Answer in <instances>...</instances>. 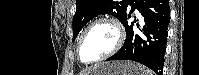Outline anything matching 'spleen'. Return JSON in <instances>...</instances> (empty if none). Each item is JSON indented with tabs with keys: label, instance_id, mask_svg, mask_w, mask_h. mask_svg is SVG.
I'll list each match as a JSON object with an SVG mask.
<instances>
[{
	"label": "spleen",
	"instance_id": "spleen-1",
	"mask_svg": "<svg viewBox=\"0 0 199 75\" xmlns=\"http://www.w3.org/2000/svg\"><path fill=\"white\" fill-rule=\"evenodd\" d=\"M143 75H152V74H151L150 70L146 69V70H144Z\"/></svg>",
	"mask_w": 199,
	"mask_h": 75
}]
</instances>
